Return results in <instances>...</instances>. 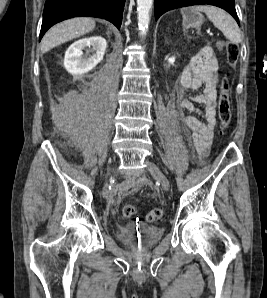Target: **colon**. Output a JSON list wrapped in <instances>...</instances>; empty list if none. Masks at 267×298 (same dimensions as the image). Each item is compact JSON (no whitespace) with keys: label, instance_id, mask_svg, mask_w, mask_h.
I'll return each mask as SVG.
<instances>
[{"label":"colon","instance_id":"1","mask_svg":"<svg viewBox=\"0 0 267 298\" xmlns=\"http://www.w3.org/2000/svg\"><path fill=\"white\" fill-rule=\"evenodd\" d=\"M219 48L225 53L228 63L235 65L239 55V48L235 43L222 41L218 44ZM218 117L220 123V131L225 132L231 121V101H230V88L227 78H224L218 101ZM122 216L125 219H130L135 216L136 208L132 204H126L122 208ZM163 216V210L160 208H154L149 211L145 220L147 222H154L161 219Z\"/></svg>","mask_w":267,"mask_h":298}]
</instances>
